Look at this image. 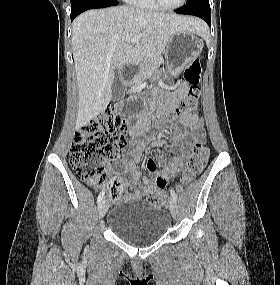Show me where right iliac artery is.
<instances>
[{
	"instance_id": "right-iliac-artery-1",
	"label": "right iliac artery",
	"mask_w": 280,
	"mask_h": 285,
	"mask_svg": "<svg viewBox=\"0 0 280 285\" xmlns=\"http://www.w3.org/2000/svg\"><path fill=\"white\" fill-rule=\"evenodd\" d=\"M104 194H105V191L100 192V194L98 195V198H97L98 203L102 201Z\"/></svg>"
}]
</instances>
